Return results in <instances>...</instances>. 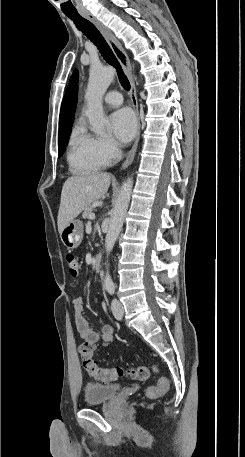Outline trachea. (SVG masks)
Instances as JSON below:
<instances>
[{
	"label": "trachea",
	"mask_w": 245,
	"mask_h": 457,
	"mask_svg": "<svg viewBox=\"0 0 245 457\" xmlns=\"http://www.w3.org/2000/svg\"><path fill=\"white\" fill-rule=\"evenodd\" d=\"M65 15L74 22L78 30H80L84 35H86V37L89 38V40H91V42H93L94 45H96L104 60H106L107 63L116 68L119 81L122 87L126 91L130 90V83L128 81V78L123 73V70L119 65V62L117 61V58L115 57L108 43H106V40L103 38L99 30H97L95 25H93V23L89 20H86V18L82 17L79 13H65Z\"/></svg>",
	"instance_id": "trachea-1"
}]
</instances>
